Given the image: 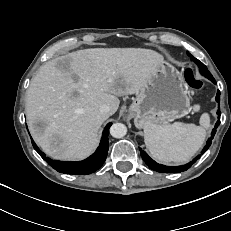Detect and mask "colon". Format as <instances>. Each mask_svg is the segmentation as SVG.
<instances>
[{"mask_svg": "<svg viewBox=\"0 0 231 231\" xmlns=\"http://www.w3.org/2000/svg\"><path fill=\"white\" fill-rule=\"evenodd\" d=\"M186 83L194 89H200L203 86L202 81L198 80L191 69H187L184 74Z\"/></svg>", "mask_w": 231, "mask_h": 231, "instance_id": "1", "label": "colon"}]
</instances>
